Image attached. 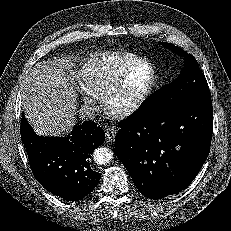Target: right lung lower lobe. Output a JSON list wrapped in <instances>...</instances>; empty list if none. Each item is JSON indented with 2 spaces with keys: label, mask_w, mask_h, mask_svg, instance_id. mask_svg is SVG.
<instances>
[{
  "label": "right lung lower lobe",
  "mask_w": 231,
  "mask_h": 231,
  "mask_svg": "<svg viewBox=\"0 0 231 231\" xmlns=\"http://www.w3.org/2000/svg\"><path fill=\"white\" fill-rule=\"evenodd\" d=\"M20 133L32 172L49 192L77 201L97 186L101 174L91 169L89 158L105 133L96 123L85 121L65 138H49L38 136L22 114Z\"/></svg>",
  "instance_id": "1"
}]
</instances>
